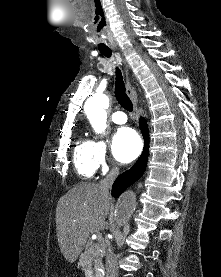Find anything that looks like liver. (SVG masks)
I'll list each match as a JSON object with an SVG mask.
<instances>
[{"mask_svg":"<svg viewBox=\"0 0 221 277\" xmlns=\"http://www.w3.org/2000/svg\"><path fill=\"white\" fill-rule=\"evenodd\" d=\"M110 207V196L94 183L79 184L59 199L56 235L61 253L68 262L76 261L90 233L104 227Z\"/></svg>","mask_w":221,"mask_h":277,"instance_id":"liver-1","label":"liver"}]
</instances>
